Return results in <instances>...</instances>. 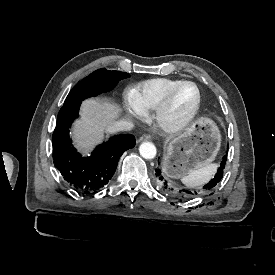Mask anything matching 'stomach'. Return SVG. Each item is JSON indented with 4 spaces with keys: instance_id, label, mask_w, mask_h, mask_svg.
<instances>
[{
    "instance_id": "1",
    "label": "stomach",
    "mask_w": 275,
    "mask_h": 275,
    "mask_svg": "<svg viewBox=\"0 0 275 275\" xmlns=\"http://www.w3.org/2000/svg\"><path fill=\"white\" fill-rule=\"evenodd\" d=\"M221 146V134L210 119L201 117L165 143L163 173L179 179L212 163Z\"/></svg>"
}]
</instances>
